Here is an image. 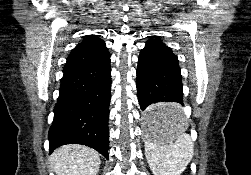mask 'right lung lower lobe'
<instances>
[{"instance_id":"right-lung-lower-lobe-1","label":"right lung lower lobe","mask_w":251,"mask_h":175,"mask_svg":"<svg viewBox=\"0 0 251 175\" xmlns=\"http://www.w3.org/2000/svg\"><path fill=\"white\" fill-rule=\"evenodd\" d=\"M63 72L48 134L50 153L61 145L77 143L108 159L110 54L98 62L64 68Z\"/></svg>"}]
</instances>
